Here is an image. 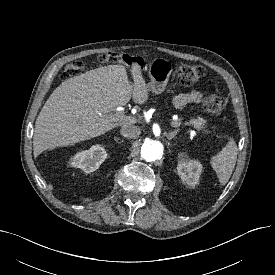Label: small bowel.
<instances>
[{"instance_id":"obj_1","label":"small bowel","mask_w":275,"mask_h":275,"mask_svg":"<svg viewBox=\"0 0 275 275\" xmlns=\"http://www.w3.org/2000/svg\"><path fill=\"white\" fill-rule=\"evenodd\" d=\"M201 93L198 91H191L189 93L179 94L175 97L174 103L178 108H182L189 103H198L201 100Z\"/></svg>"}]
</instances>
